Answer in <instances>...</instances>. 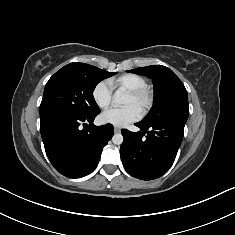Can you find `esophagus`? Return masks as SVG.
<instances>
[{
    "instance_id": "obj_1",
    "label": "esophagus",
    "mask_w": 235,
    "mask_h": 235,
    "mask_svg": "<svg viewBox=\"0 0 235 235\" xmlns=\"http://www.w3.org/2000/svg\"><path fill=\"white\" fill-rule=\"evenodd\" d=\"M120 131H121V129L119 127L114 126V132L115 133H119Z\"/></svg>"
}]
</instances>
